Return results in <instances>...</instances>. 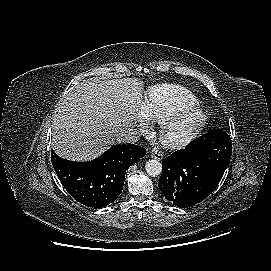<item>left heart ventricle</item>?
Listing matches in <instances>:
<instances>
[{"instance_id": "1", "label": "left heart ventricle", "mask_w": 271, "mask_h": 271, "mask_svg": "<svg viewBox=\"0 0 271 271\" xmlns=\"http://www.w3.org/2000/svg\"><path fill=\"white\" fill-rule=\"evenodd\" d=\"M194 118H186L179 121L172 129V136H181L185 134L192 126Z\"/></svg>"}]
</instances>
